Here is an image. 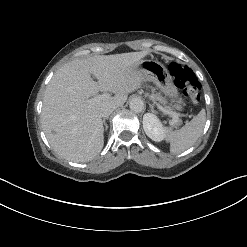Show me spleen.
Masks as SVG:
<instances>
[{"label":"spleen","mask_w":247,"mask_h":247,"mask_svg":"<svg viewBox=\"0 0 247 247\" xmlns=\"http://www.w3.org/2000/svg\"><path fill=\"white\" fill-rule=\"evenodd\" d=\"M206 121L205 110L202 109L189 123L181 129H166V140L170 143V151L179 154L190 148L201 136Z\"/></svg>","instance_id":"spleen-1"}]
</instances>
